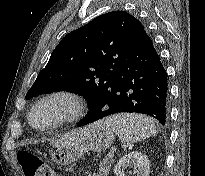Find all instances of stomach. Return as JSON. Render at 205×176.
Instances as JSON below:
<instances>
[{
  "mask_svg": "<svg viewBox=\"0 0 205 176\" xmlns=\"http://www.w3.org/2000/svg\"><path fill=\"white\" fill-rule=\"evenodd\" d=\"M88 136L78 144L58 148L52 153V160L58 165H68L88 151L101 152L108 149L114 140L111 129L97 123L90 125Z\"/></svg>",
  "mask_w": 205,
  "mask_h": 176,
  "instance_id": "0dacf381",
  "label": "stomach"
}]
</instances>
